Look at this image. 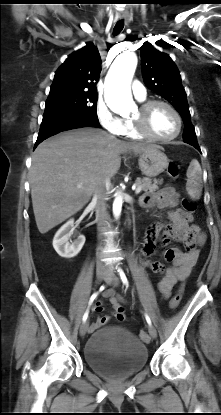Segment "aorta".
Instances as JSON below:
<instances>
[{
  "label": "aorta",
  "instance_id": "762f6f07",
  "mask_svg": "<svg viewBox=\"0 0 221 415\" xmlns=\"http://www.w3.org/2000/svg\"><path fill=\"white\" fill-rule=\"evenodd\" d=\"M137 67V56L127 52L118 56L111 65L105 81V101L116 113L128 112L133 106L131 81ZM122 196L117 194L113 202V214L116 219L121 215Z\"/></svg>",
  "mask_w": 221,
  "mask_h": 415
}]
</instances>
